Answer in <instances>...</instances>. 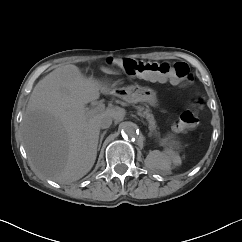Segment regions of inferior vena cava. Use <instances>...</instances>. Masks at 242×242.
I'll use <instances>...</instances> for the list:
<instances>
[{"instance_id":"602c4592","label":"inferior vena cava","mask_w":242,"mask_h":242,"mask_svg":"<svg viewBox=\"0 0 242 242\" xmlns=\"http://www.w3.org/2000/svg\"><path fill=\"white\" fill-rule=\"evenodd\" d=\"M112 124V118L108 115H103L101 118H100V121H99V126L102 128V129H106V128H109Z\"/></svg>"}]
</instances>
